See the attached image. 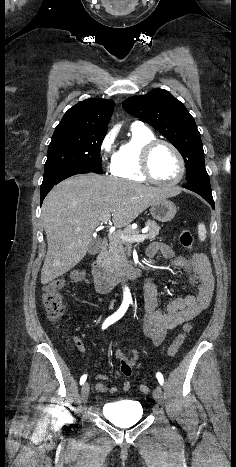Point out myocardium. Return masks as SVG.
<instances>
[{"label": "myocardium", "mask_w": 236, "mask_h": 467, "mask_svg": "<svg viewBox=\"0 0 236 467\" xmlns=\"http://www.w3.org/2000/svg\"><path fill=\"white\" fill-rule=\"evenodd\" d=\"M161 145H164V146H167L168 148H170L174 152L176 157L178 158V161H179V164H180V173H179L178 177L175 180H172V181L159 180V179H157L155 177V175L152 172V169H151L152 154H153L154 150L158 146H161ZM140 171L146 177V179H148L149 181H151V182H153L155 184L171 186V185H176V184L180 183L182 181V179L184 178L185 173H186V163H185L183 155L181 154L179 149L174 144H172L171 142H169L167 140L156 139L155 138V139H152V140L146 142L141 148V151H140Z\"/></svg>", "instance_id": "obj_1"}]
</instances>
